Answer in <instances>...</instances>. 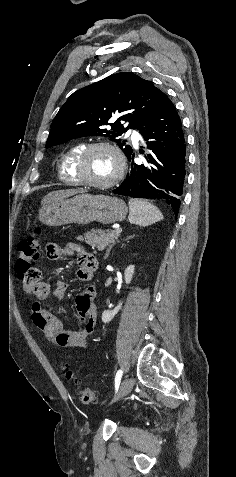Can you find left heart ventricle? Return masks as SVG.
<instances>
[{
  "instance_id": "b2bd125f",
  "label": "left heart ventricle",
  "mask_w": 236,
  "mask_h": 477,
  "mask_svg": "<svg viewBox=\"0 0 236 477\" xmlns=\"http://www.w3.org/2000/svg\"><path fill=\"white\" fill-rule=\"evenodd\" d=\"M117 167V159L110 150L97 148L87 156L83 174L89 180L103 182L115 175Z\"/></svg>"
}]
</instances>
